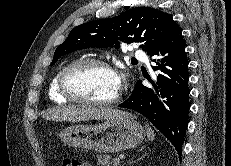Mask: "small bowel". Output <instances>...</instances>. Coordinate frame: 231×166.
Masks as SVG:
<instances>
[{
	"mask_svg": "<svg viewBox=\"0 0 231 166\" xmlns=\"http://www.w3.org/2000/svg\"><path fill=\"white\" fill-rule=\"evenodd\" d=\"M84 166H90V165H88V164H84Z\"/></svg>",
	"mask_w": 231,
	"mask_h": 166,
	"instance_id": "c3829d8e",
	"label": "small bowel"
}]
</instances>
